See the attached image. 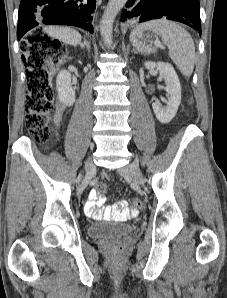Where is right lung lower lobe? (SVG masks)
<instances>
[{
	"label": "right lung lower lobe",
	"mask_w": 227,
	"mask_h": 298,
	"mask_svg": "<svg viewBox=\"0 0 227 298\" xmlns=\"http://www.w3.org/2000/svg\"><path fill=\"white\" fill-rule=\"evenodd\" d=\"M95 8L96 0H21L17 38L41 24L78 26L93 33Z\"/></svg>",
	"instance_id": "obj_1"
}]
</instances>
